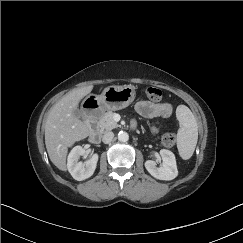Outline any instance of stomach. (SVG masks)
<instances>
[{
    "mask_svg": "<svg viewBox=\"0 0 243 243\" xmlns=\"http://www.w3.org/2000/svg\"><path fill=\"white\" fill-rule=\"evenodd\" d=\"M135 88L131 85L106 87L101 95H88L84 102L90 100L103 110H120L129 106L135 99Z\"/></svg>",
    "mask_w": 243,
    "mask_h": 243,
    "instance_id": "1",
    "label": "stomach"
}]
</instances>
